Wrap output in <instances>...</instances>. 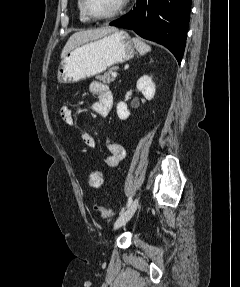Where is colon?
I'll list each match as a JSON object with an SVG mask.
<instances>
[{
  "label": "colon",
  "mask_w": 240,
  "mask_h": 287,
  "mask_svg": "<svg viewBox=\"0 0 240 287\" xmlns=\"http://www.w3.org/2000/svg\"><path fill=\"white\" fill-rule=\"evenodd\" d=\"M86 178H87V183L89 187L93 189H98L103 185V180H104L103 174L98 169H95V168L90 169L87 172ZM93 211L105 219H112L115 216L112 210L104 208L103 206L98 205V204L94 205Z\"/></svg>",
  "instance_id": "obj_1"
}]
</instances>
